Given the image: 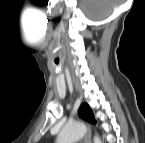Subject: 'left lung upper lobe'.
<instances>
[{"instance_id":"obj_1","label":"left lung upper lobe","mask_w":145,"mask_h":143,"mask_svg":"<svg viewBox=\"0 0 145 143\" xmlns=\"http://www.w3.org/2000/svg\"><path fill=\"white\" fill-rule=\"evenodd\" d=\"M79 116L85 120L95 123L93 113L87 104L82 105L81 109L79 110Z\"/></svg>"}]
</instances>
